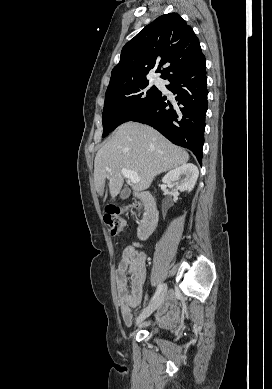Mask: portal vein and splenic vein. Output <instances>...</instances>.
<instances>
[{
  "label": "portal vein and splenic vein",
  "instance_id": "obj_1",
  "mask_svg": "<svg viewBox=\"0 0 272 389\" xmlns=\"http://www.w3.org/2000/svg\"><path fill=\"white\" fill-rule=\"evenodd\" d=\"M108 172H111L110 169H108ZM122 175L126 178H128L132 183H138L140 182V178L138 174L132 170L123 168L122 169Z\"/></svg>",
  "mask_w": 272,
  "mask_h": 389
}]
</instances>
